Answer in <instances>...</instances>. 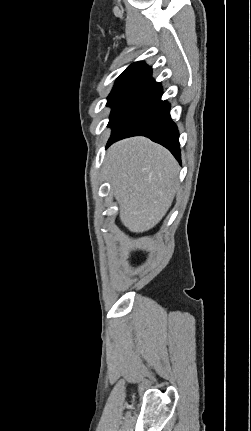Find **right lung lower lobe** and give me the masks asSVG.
<instances>
[{
  "mask_svg": "<svg viewBox=\"0 0 251 431\" xmlns=\"http://www.w3.org/2000/svg\"><path fill=\"white\" fill-rule=\"evenodd\" d=\"M161 96L162 87L148 68L110 124L107 147L123 138L145 136L166 147L180 162L179 132L169 114L171 106Z\"/></svg>",
  "mask_w": 251,
  "mask_h": 431,
  "instance_id": "1",
  "label": "right lung lower lobe"
}]
</instances>
